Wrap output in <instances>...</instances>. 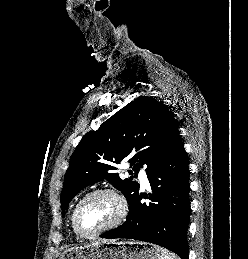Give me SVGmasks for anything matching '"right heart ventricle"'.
I'll use <instances>...</instances> for the list:
<instances>
[{
    "mask_svg": "<svg viewBox=\"0 0 248 259\" xmlns=\"http://www.w3.org/2000/svg\"><path fill=\"white\" fill-rule=\"evenodd\" d=\"M71 226H72V229H73L74 233L78 236V234L76 233V231H75V229L73 227V224H72V217H71Z\"/></svg>",
    "mask_w": 248,
    "mask_h": 259,
    "instance_id": "e07e8e85",
    "label": "right heart ventricle"
}]
</instances>
